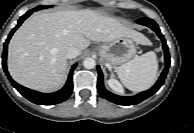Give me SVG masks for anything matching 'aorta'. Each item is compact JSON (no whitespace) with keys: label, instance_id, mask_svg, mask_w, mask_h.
Listing matches in <instances>:
<instances>
[{"label":"aorta","instance_id":"762f6f07","mask_svg":"<svg viewBox=\"0 0 194 133\" xmlns=\"http://www.w3.org/2000/svg\"><path fill=\"white\" fill-rule=\"evenodd\" d=\"M96 65V62L93 58L89 57V58H86L84 59L83 61V66L86 68V69H93Z\"/></svg>","mask_w":194,"mask_h":133}]
</instances>
